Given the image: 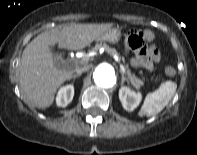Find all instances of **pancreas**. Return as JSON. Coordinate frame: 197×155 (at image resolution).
Instances as JSON below:
<instances>
[{"label": "pancreas", "instance_id": "cf45deb5", "mask_svg": "<svg viewBox=\"0 0 197 155\" xmlns=\"http://www.w3.org/2000/svg\"><path fill=\"white\" fill-rule=\"evenodd\" d=\"M100 48H105L106 51L111 55H118L117 51L114 48H110L108 45L102 44V43L96 44L94 47H92L91 50L97 51ZM123 61H124V59H123ZM125 70H126V74H127V79L131 82V84L135 88H140L144 84V82L141 79H139L134 73H132L130 71L127 64L125 65Z\"/></svg>", "mask_w": 197, "mask_h": 155}]
</instances>
